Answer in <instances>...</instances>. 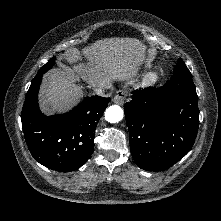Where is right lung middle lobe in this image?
Here are the masks:
<instances>
[{"mask_svg": "<svg viewBox=\"0 0 221 221\" xmlns=\"http://www.w3.org/2000/svg\"><path fill=\"white\" fill-rule=\"evenodd\" d=\"M55 58H51L44 66L40 68L36 76H42L45 72L52 68L54 65ZM35 76V77H36Z\"/></svg>", "mask_w": 221, "mask_h": 221, "instance_id": "obj_1", "label": "right lung middle lobe"}]
</instances>
